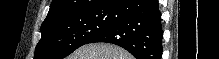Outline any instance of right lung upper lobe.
Here are the masks:
<instances>
[{"label":"right lung upper lobe","instance_id":"1","mask_svg":"<svg viewBox=\"0 0 219 59\" xmlns=\"http://www.w3.org/2000/svg\"><path fill=\"white\" fill-rule=\"evenodd\" d=\"M120 0H52L50 10L44 22L52 19L84 14L97 10L114 9Z\"/></svg>","mask_w":219,"mask_h":59}]
</instances>
